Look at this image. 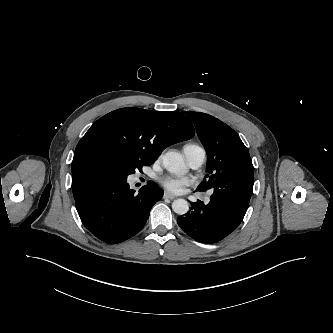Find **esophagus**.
Listing matches in <instances>:
<instances>
[{"label":"esophagus","mask_w":333,"mask_h":333,"mask_svg":"<svg viewBox=\"0 0 333 333\" xmlns=\"http://www.w3.org/2000/svg\"><path fill=\"white\" fill-rule=\"evenodd\" d=\"M163 198L173 200V199H175V196L170 193L165 192L163 194Z\"/></svg>","instance_id":"1"}]
</instances>
